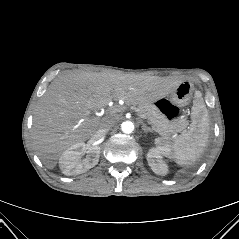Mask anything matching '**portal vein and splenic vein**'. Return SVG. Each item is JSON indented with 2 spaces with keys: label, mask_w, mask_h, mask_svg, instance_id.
<instances>
[{
  "label": "portal vein and splenic vein",
  "mask_w": 239,
  "mask_h": 239,
  "mask_svg": "<svg viewBox=\"0 0 239 239\" xmlns=\"http://www.w3.org/2000/svg\"><path fill=\"white\" fill-rule=\"evenodd\" d=\"M112 113H115L116 111H111ZM137 115L143 119H147V117L144 114L137 113Z\"/></svg>",
  "instance_id": "portal-vein-and-splenic-vein-1"
}]
</instances>
